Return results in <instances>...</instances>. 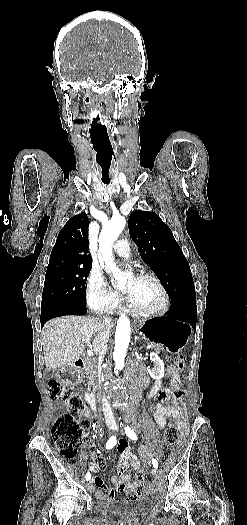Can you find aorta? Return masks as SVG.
Listing matches in <instances>:
<instances>
[{
	"mask_svg": "<svg viewBox=\"0 0 247 525\" xmlns=\"http://www.w3.org/2000/svg\"><path fill=\"white\" fill-rule=\"evenodd\" d=\"M125 224L126 220L123 216H115L103 226L99 236L100 254L105 262L106 268L113 274L119 287H122L126 283L128 274L121 272L114 263L112 247L114 241L123 231ZM130 334V320L126 316H121L116 326L115 346L113 352V360L115 362L114 372L116 374H118L119 370L124 367V361L130 342Z\"/></svg>",
	"mask_w": 247,
	"mask_h": 525,
	"instance_id": "1",
	"label": "aorta"
}]
</instances>
